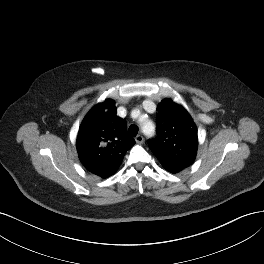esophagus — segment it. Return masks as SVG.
<instances>
[{
    "label": "esophagus",
    "instance_id": "1",
    "mask_svg": "<svg viewBox=\"0 0 264 264\" xmlns=\"http://www.w3.org/2000/svg\"><path fill=\"white\" fill-rule=\"evenodd\" d=\"M135 141L138 143V144H142L144 142V138L142 135H137L135 137Z\"/></svg>",
    "mask_w": 264,
    "mask_h": 264
}]
</instances>
